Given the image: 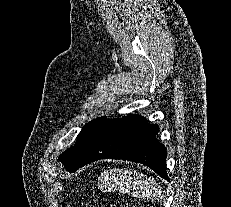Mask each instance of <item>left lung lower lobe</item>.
Returning <instances> with one entry per match:
<instances>
[{
  "mask_svg": "<svg viewBox=\"0 0 231 207\" xmlns=\"http://www.w3.org/2000/svg\"><path fill=\"white\" fill-rule=\"evenodd\" d=\"M159 127L139 115L108 119L97 133L81 161L70 171L100 159H122L147 165L162 178L166 172V148L157 142Z\"/></svg>",
  "mask_w": 231,
  "mask_h": 207,
  "instance_id": "left-lung-lower-lobe-1",
  "label": "left lung lower lobe"
}]
</instances>
